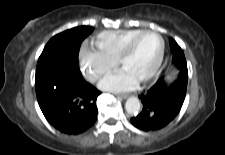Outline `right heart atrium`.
Wrapping results in <instances>:
<instances>
[{
    "label": "right heart atrium",
    "instance_id": "obj_1",
    "mask_svg": "<svg viewBox=\"0 0 225 155\" xmlns=\"http://www.w3.org/2000/svg\"><path fill=\"white\" fill-rule=\"evenodd\" d=\"M79 63L84 76L91 82H97L111 71L116 60L83 44L79 50Z\"/></svg>",
    "mask_w": 225,
    "mask_h": 155
}]
</instances>
